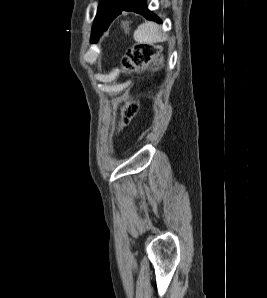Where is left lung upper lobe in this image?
<instances>
[{"label": "left lung upper lobe", "mask_w": 267, "mask_h": 298, "mask_svg": "<svg viewBox=\"0 0 267 298\" xmlns=\"http://www.w3.org/2000/svg\"><path fill=\"white\" fill-rule=\"evenodd\" d=\"M119 1H122V0H101L100 4L98 6L97 13H99L100 11L105 9L106 7H109L110 5L116 4Z\"/></svg>", "instance_id": "left-lung-upper-lobe-1"}]
</instances>
